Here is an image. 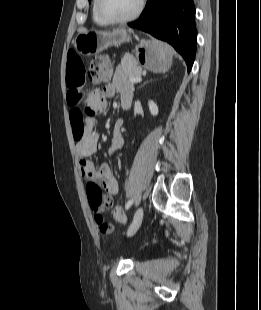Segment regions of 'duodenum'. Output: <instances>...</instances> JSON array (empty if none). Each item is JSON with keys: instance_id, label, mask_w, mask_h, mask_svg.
<instances>
[{"instance_id": "duodenum-1", "label": "duodenum", "mask_w": 261, "mask_h": 310, "mask_svg": "<svg viewBox=\"0 0 261 310\" xmlns=\"http://www.w3.org/2000/svg\"><path fill=\"white\" fill-rule=\"evenodd\" d=\"M121 105H122L123 109H129L131 106V98L123 97L121 99Z\"/></svg>"}]
</instances>
